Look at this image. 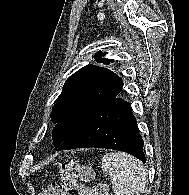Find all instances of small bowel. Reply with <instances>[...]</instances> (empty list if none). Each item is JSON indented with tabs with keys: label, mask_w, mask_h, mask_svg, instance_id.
Returning a JSON list of instances; mask_svg holds the SVG:
<instances>
[{
	"label": "small bowel",
	"mask_w": 189,
	"mask_h": 195,
	"mask_svg": "<svg viewBox=\"0 0 189 195\" xmlns=\"http://www.w3.org/2000/svg\"><path fill=\"white\" fill-rule=\"evenodd\" d=\"M81 195H93V190L87 186H80Z\"/></svg>",
	"instance_id": "c3829d8e"
}]
</instances>
